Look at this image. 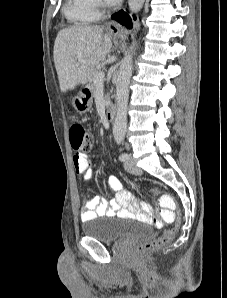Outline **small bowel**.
I'll use <instances>...</instances> for the list:
<instances>
[{"mask_svg":"<svg viewBox=\"0 0 227 298\" xmlns=\"http://www.w3.org/2000/svg\"><path fill=\"white\" fill-rule=\"evenodd\" d=\"M73 165L78 177H81L85 181L92 178L93 170L90 159L87 156V150H76V154L73 157ZM107 183L109 188L114 192V197L111 200H107L98 195L88 196L80 210L82 221H89L104 216L147 218V213L150 211L148 205L143 203L139 206L135 198L122 188L116 176H108ZM163 222H169L164 210L162 211Z\"/></svg>","mask_w":227,"mask_h":298,"instance_id":"c3829d8e","label":"small bowel"}]
</instances>
